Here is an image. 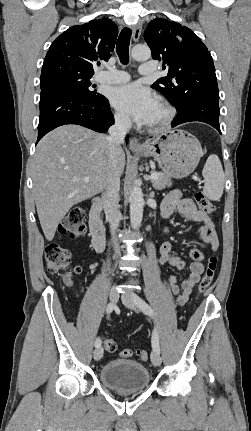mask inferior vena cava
<instances>
[{"label": "inferior vena cava", "instance_id": "1", "mask_svg": "<svg viewBox=\"0 0 251 431\" xmlns=\"http://www.w3.org/2000/svg\"><path fill=\"white\" fill-rule=\"evenodd\" d=\"M131 120L129 117L124 115H118L115 118V123L112 125L108 132L109 136L107 137L109 143V155L112 164H115L116 160V152L120 145L124 142L126 134L128 130L131 128ZM119 188H120V175L113 174L110 177L109 184L105 188V191L102 194V203L104 207V211L106 214V218L110 223V231L112 236L115 235V231L119 225L120 220L122 219V215L119 211ZM115 244V253L120 254L119 246L116 242Z\"/></svg>", "mask_w": 251, "mask_h": 431}]
</instances>
